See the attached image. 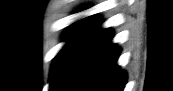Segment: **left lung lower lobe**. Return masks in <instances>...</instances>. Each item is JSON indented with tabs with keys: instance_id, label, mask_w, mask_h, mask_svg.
Here are the masks:
<instances>
[{
	"instance_id": "obj_1",
	"label": "left lung lower lobe",
	"mask_w": 173,
	"mask_h": 91,
	"mask_svg": "<svg viewBox=\"0 0 173 91\" xmlns=\"http://www.w3.org/2000/svg\"><path fill=\"white\" fill-rule=\"evenodd\" d=\"M100 24L72 52L51 91H123L127 76L116 64L121 50Z\"/></svg>"
}]
</instances>
